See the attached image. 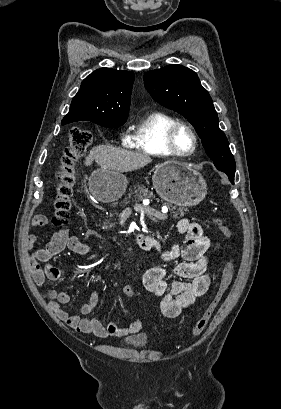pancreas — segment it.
Segmentation results:
<instances>
[{"label":"pancreas","mask_w":281,"mask_h":409,"mask_svg":"<svg viewBox=\"0 0 281 409\" xmlns=\"http://www.w3.org/2000/svg\"><path fill=\"white\" fill-rule=\"evenodd\" d=\"M129 192L132 194L133 198H140V200H142V198H152V196H154L152 190H148L146 186H140V184L135 186L134 192L133 190H129ZM171 211H173V219H180V217H183L184 215L182 209H175V207H172Z\"/></svg>","instance_id":"pancreas-1"}]
</instances>
